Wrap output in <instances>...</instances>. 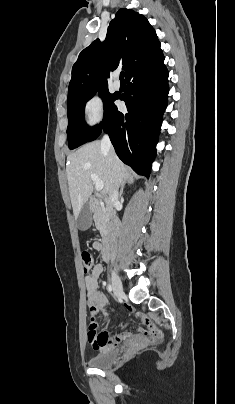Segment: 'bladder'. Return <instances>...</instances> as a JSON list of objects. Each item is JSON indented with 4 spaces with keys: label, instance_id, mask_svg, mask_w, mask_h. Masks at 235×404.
<instances>
[{
    "label": "bladder",
    "instance_id": "obj_1",
    "mask_svg": "<svg viewBox=\"0 0 235 404\" xmlns=\"http://www.w3.org/2000/svg\"><path fill=\"white\" fill-rule=\"evenodd\" d=\"M120 358L121 352L118 348H104L89 360V364L94 368L105 369L113 366Z\"/></svg>",
    "mask_w": 235,
    "mask_h": 404
}]
</instances>
